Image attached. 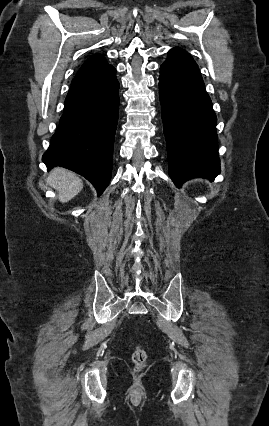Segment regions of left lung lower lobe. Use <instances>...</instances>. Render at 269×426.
Returning a JSON list of instances; mask_svg holds the SVG:
<instances>
[{"label": "left lung lower lobe", "instance_id": "obj_1", "mask_svg": "<svg viewBox=\"0 0 269 426\" xmlns=\"http://www.w3.org/2000/svg\"><path fill=\"white\" fill-rule=\"evenodd\" d=\"M159 95L172 181L213 180L220 173L217 118L196 62L181 48L160 67Z\"/></svg>", "mask_w": 269, "mask_h": 426}]
</instances>
